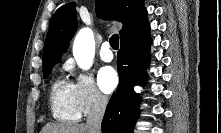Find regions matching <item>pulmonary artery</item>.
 I'll return each instance as SVG.
<instances>
[{
  "mask_svg": "<svg viewBox=\"0 0 221 133\" xmlns=\"http://www.w3.org/2000/svg\"><path fill=\"white\" fill-rule=\"evenodd\" d=\"M100 58L104 61V62H110L113 60V52L111 50V46L110 43L105 41L100 49L99 52Z\"/></svg>",
  "mask_w": 221,
  "mask_h": 133,
  "instance_id": "1",
  "label": "pulmonary artery"
}]
</instances>
